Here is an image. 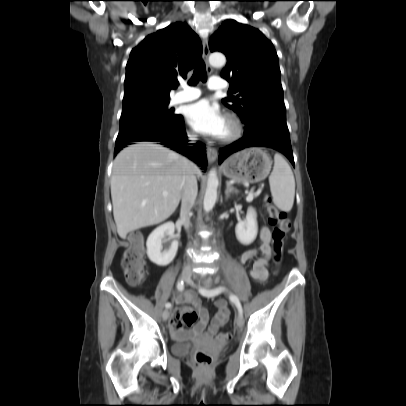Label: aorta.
<instances>
[{
	"instance_id": "1",
	"label": "aorta",
	"mask_w": 406,
	"mask_h": 406,
	"mask_svg": "<svg viewBox=\"0 0 406 406\" xmlns=\"http://www.w3.org/2000/svg\"><path fill=\"white\" fill-rule=\"evenodd\" d=\"M209 62L214 67H222L226 63V58L222 53H212L209 56ZM217 187H218V178L215 171H212L209 174L207 188L204 195L203 209L205 212L211 211L216 203Z\"/></svg>"
}]
</instances>
